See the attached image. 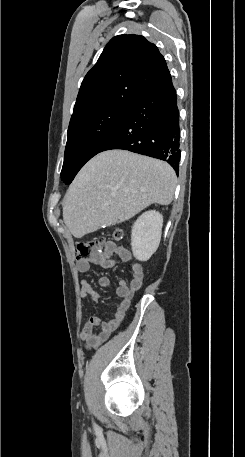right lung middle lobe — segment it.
Wrapping results in <instances>:
<instances>
[{
    "label": "right lung middle lobe",
    "instance_id": "1",
    "mask_svg": "<svg viewBox=\"0 0 245 457\" xmlns=\"http://www.w3.org/2000/svg\"><path fill=\"white\" fill-rule=\"evenodd\" d=\"M132 104L116 101L71 118L61 179L70 184L81 167L98 154Z\"/></svg>",
    "mask_w": 245,
    "mask_h": 457
}]
</instances>
